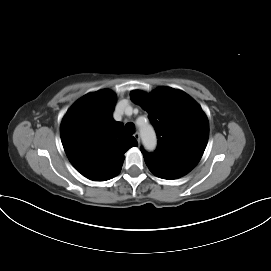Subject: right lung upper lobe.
<instances>
[{"mask_svg": "<svg viewBox=\"0 0 271 271\" xmlns=\"http://www.w3.org/2000/svg\"><path fill=\"white\" fill-rule=\"evenodd\" d=\"M116 95L110 90L87 94L67 111L60 127L61 140L72 165L86 178L106 181L119 174L124 153L137 146L123 132L112 112Z\"/></svg>", "mask_w": 271, "mask_h": 271, "instance_id": "right-lung-upper-lobe-1", "label": "right lung upper lobe"}]
</instances>
